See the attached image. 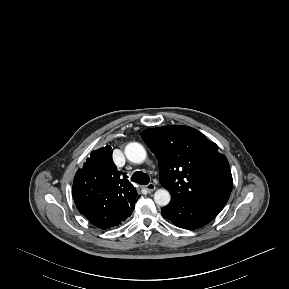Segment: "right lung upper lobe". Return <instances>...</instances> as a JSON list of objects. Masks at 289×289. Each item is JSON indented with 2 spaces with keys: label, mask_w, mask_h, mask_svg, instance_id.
<instances>
[{
  "label": "right lung upper lobe",
  "mask_w": 289,
  "mask_h": 289,
  "mask_svg": "<svg viewBox=\"0 0 289 289\" xmlns=\"http://www.w3.org/2000/svg\"><path fill=\"white\" fill-rule=\"evenodd\" d=\"M112 151L111 146H106L91 152L74 177L72 195L84 216H107L135 204L136 189L127 177H120Z\"/></svg>",
  "instance_id": "obj_1"
}]
</instances>
